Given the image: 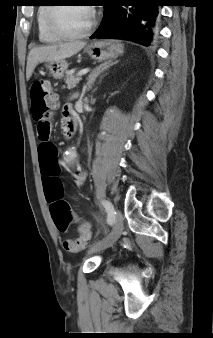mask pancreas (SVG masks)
<instances>
[{
	"instance_id": "obj_1",
	"label": "pancreas",
	"mask_w": 213,
	"mask_h": 338,
	"mask_svg": "<svg viewBox=\"0 0 213 338\" xmlns=\"http://www.w3.org/2000/svg\"><path fill=\"white\" fill-rule=\"evenodd\" d=\"M64 80H65V84L67 85V88L73 89L79 83V81L81 80V77L71 74V75H66Z\"/></svg>"
}]
</instances>
